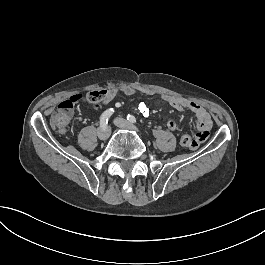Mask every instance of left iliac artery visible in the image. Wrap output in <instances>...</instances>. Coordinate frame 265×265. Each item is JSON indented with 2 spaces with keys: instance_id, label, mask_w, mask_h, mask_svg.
<instances>
[{
  "instance_id": "left-iliac-artery-1",
  "label": "left iliac artery",
  "mask_w": 265,
  "mask_h": 265,
  "mask_svg": "<svg viewBox=\"0 0 265 265\" xmlns=\"http://www.w3.org/2000/svg\"><path fill=\"white\" fill-rule=\"evenodd\" d=\"M127 120L129 122H131V123H136L137 122L136 118L133 115H130V114L127 115Z\"/></svg>"
}]
</instances>
